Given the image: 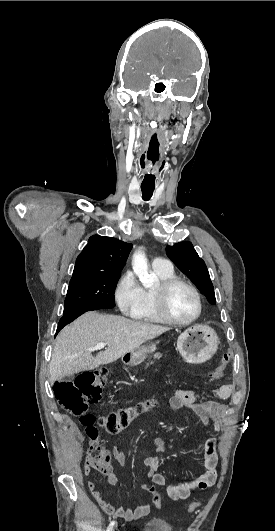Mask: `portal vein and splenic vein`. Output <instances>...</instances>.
Returning a JSON list of instances; mask_svg holds the SVG:
<instances>
[{
	"label": "portal vein and splenic vein",
	"mask_w": 275,
	"mask_h": 531,
	"mask_svg": "<svg viewBox=\"0 0 275 531\" xmlns=\"http://www.w3.org/2000/svg\"><path fill=\"white\" fill-rule=\"evenodd\" d=\"M106 347V343H98L96 347H92V349H87V351H100V349H104Z\"/></svg>",
	"instance_id": "1"
}]
</instances>
